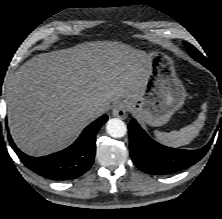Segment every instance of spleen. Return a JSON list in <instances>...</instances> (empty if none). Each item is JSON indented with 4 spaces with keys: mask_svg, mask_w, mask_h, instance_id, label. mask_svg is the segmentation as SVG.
Here are the masks:
<instances>
[{
    "mask_svg": "<svg viewBox=\"0 0 222 219\" xmlns=\"http://www.w3.org/2000/svg\"><path fill=\"white\" fill-rule=\"evenodd\" d=\"M207 104L202 105V112L190 125L181 128L179 131L160 132L155 131L158 141L170 147H181L189 144L200 132L206 120Z\"/></svg>",
    "mask_w": 222,
    "mask_h": 219,
    "instance_id": "obj_1",
    "label": "spleen"
}]
</instances>
